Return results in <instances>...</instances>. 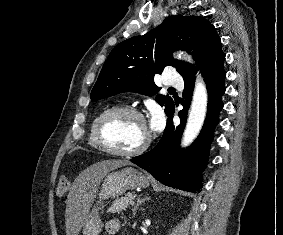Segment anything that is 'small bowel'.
I'll return each mask as SVG.
<instances>
[{
    "label": "small bowel",
    "instance_id": "obj_1",
    "mask_svg": "<svg viewBox=\"0 0 283 235\" xmlns=\"http://www.w3.org/2000/svg\"><path fill=\"white\" fill-rule=\"evenodd\" d=\"M120 228H121V223L117 219H112L107 223V231L112 235L118 233Z\"/></svg>",
    "mask_w": 283,
    "mask_h": 235
}]
</instances>
